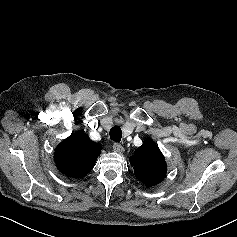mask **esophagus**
Listing matches in <instances>:
<instances>
[{
    "label": "esophagus",
    "instance_id": "1",
    "mask_svg": "<svg viewBox=\"0 0 237 237\" xmlns=\"http://www.w3.org/2000/svg\"><path fill=\"white\" fill-rule=\"evenodd\" d=\"M113 149L117 153H123L124 152V147L120 143H113Z\"/></svg>",
    "mask_w": 237,
    "mask_h": 237
}]
</instances>
